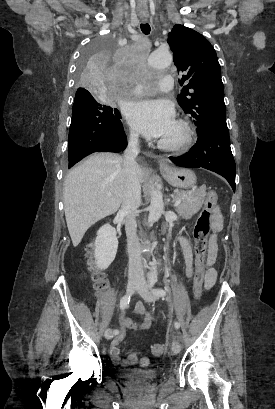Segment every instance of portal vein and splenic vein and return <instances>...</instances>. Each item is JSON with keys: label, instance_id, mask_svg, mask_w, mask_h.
<instances>
[{"label": "portal vein and splenic vein", "instance_id": "1", "mask_svg": "<svg viewBox=\"0 0 275 409\" xmlns=\"http://www.w3.org/2000/svg\"><path fill=\"white\" fill-rule=\"evenodd\" d=\"M179 202H181V200H176L174 207H178Z\"/></svg>", "mask_w": 275, "mask_h": 409}]
</instances>
